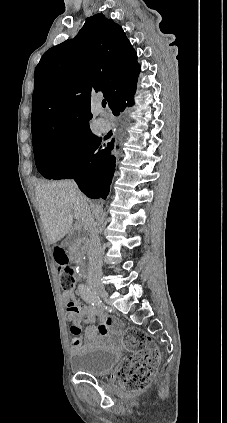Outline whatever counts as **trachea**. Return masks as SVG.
I'll return each mask as SVG.
<instances>
[{
    "label": "trachea",
    "instance_id": "trachea-1",
    "mask_svg": "<svg viewBox=\"0 0 227 423\" xmlns=\"http://www.w3.org/2000/svg\"><path fill=\"white\" fill-rule=\"evenodd\" d=\"M102 107L105 108L106 107V100H102Z\"/></svg>",
    "mask_w": 227,
    "mask_h": 423
}]
</instances>
